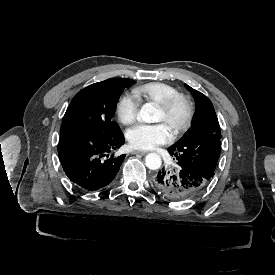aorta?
<instances>
[{
	"label": "aorta",
	"mask_w": 275,
	"mask_h": 275,
	"mask_svg": "<svg viewBox=\"0 0 275 275\" xmlns=\"http://www.w3.org/2000/svg\"><path fill=\"white\" fill-rule=\"evenodd\" d=\"M140 118L146 123L159 122L162 117V111L160 108L153 106L151 103H146L142 106ZM161 157L157 153H149L145 157V165L150 170H157L161 167Z\"/></svg>",
	"instance_id": "1"
}]
</instances>
